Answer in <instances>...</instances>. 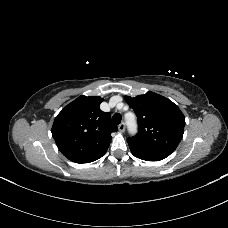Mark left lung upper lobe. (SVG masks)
Segmentation results:
<instances>
[{
  "instance_id": "obj_1",
  "label": "left lung upper lobe",
  "mask_w": 228,
  "mask_h": 228,
  "mask_svg": "<svg viewBox=\"0 0 228 228\" xmlns=\"http://www.w3.org/2000/svg\"><path fill=\"white\" fill-rule=\"evenodd\" d=\"M138 118V133L127 139L134 148L171 154L182 139L185 117L169 99L147 92L135 98L125 96Z\"/></svg>"
}]
</instances>
